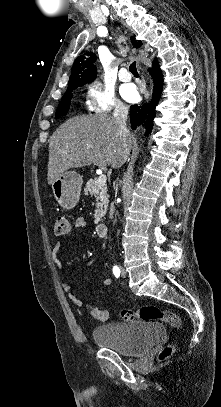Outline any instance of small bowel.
<instances>
[{
    "label": "small bowel",
    "instance_id": "1",
    "mask_svg": "<svg viewBox=\"0 0 221 407\" xmlns=\"http://www.w3.org/2000/svg\"><path fill=\"white\" fill-rule=\"evenodd\" d=\"M74 227L76 229H85L87 227L86 220L82 217L77 218L74 221ZM61 247H62L61 243L59 241H57L52 249V258L58 267H62V262L59 258V252L61 250ZM110 284H111V279L105 278L103 280V285L108 286ZM61 286H62V289L68 294V297L72 303H74L77 306L83 305L82 300L79 299L74 293L71 292V284L69 282H62Z\"/></svg>",
    "mask_w": 221,
    "mask_h": 407
}]
</instances>
